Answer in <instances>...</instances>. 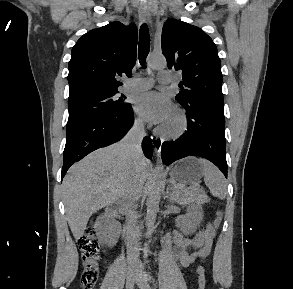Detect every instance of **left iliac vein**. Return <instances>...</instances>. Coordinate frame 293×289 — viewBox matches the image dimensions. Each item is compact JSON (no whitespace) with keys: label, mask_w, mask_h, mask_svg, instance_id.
I'll return each mask as SVG.
<instances>
[{"label":"left iliac vein","mask_w":293,"mask_h":289,"mask_svg":"<svg viewBox=\"0 0 293 289\" xmlns=\"http://www.w3.org/2000/svg\"><path fill=\"white\" fill-rule=\"evenodd\" d=\"M138 267L139 269H143V264L139 262ZM137 280L140 282L141 289H151V287L146 283L143 277L137 278Z\"/></svg>","instance_id":"left-iliac-vein-1"}]
</instances>
